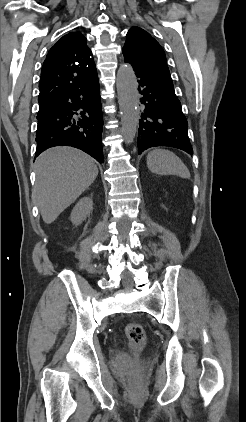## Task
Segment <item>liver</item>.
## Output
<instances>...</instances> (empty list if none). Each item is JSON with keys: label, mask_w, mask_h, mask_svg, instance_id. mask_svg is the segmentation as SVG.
Returning a JSON list of instances; mask_svg holds the SVG:
<instances>
[{"label": "liver", "mask_w": 246, "mask_h": 422, "mask_svg": "<svg viewBox=\"0 0 246 422\" xmlns=\"http://www.w3.org/2000/svg\"><path fill=\"white\" fill-rule=\"evenodd\" d=\"M33 197L43 221L51 224L96 179L98 168L86 153L72 147H53L35 162Z\"/></svg>", "instance_id": "obj_1"}]
</instances>
